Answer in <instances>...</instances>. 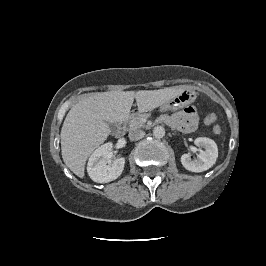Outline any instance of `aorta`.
I'll use <instances>...</instances> for the list:
<instances>
[{
    "label": "aorta",
    "instance_id": "obj_1",
    "mask_svg": "<svg viewBox=\"0 0 266 266\" xmlns=\"http://www.w3.org/2000/svg\"><path fill=\"white\" fill-rule=\"evenodd\" d=\"M153 135L156 138H163L165 136V129L162 126H156L153 129Z\"/></svg>",
    "mask_w": 266,
    "mask_h": 266
}]
</instances>
